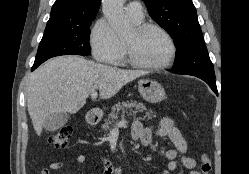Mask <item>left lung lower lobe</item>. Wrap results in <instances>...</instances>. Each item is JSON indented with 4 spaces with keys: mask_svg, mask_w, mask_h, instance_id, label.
I'll use <instances>...</instances> for the list:
<instances>
[{
    "mask_svg": "<svg viewBox=\"0 0 249 174\" xmlns=\"http://www.w3.org/2000/svg\"><path fill=\"white\" fill-rule=\"evenodd\" d=\"M170 71L173 73H177L175 70H170ZM177 74H180V73H177ZM187 75L196 76V77L202 79L210 86V88L213 90V92L216 95H218L216 81H215V75L203 74V73H194V74H187Z\"/></svg>",
    "mask_w": 249,
    "mask_h": 174,
    "instance_id": "obj_1",
    "label": "left lung lower lobe"
}]
</instances>
